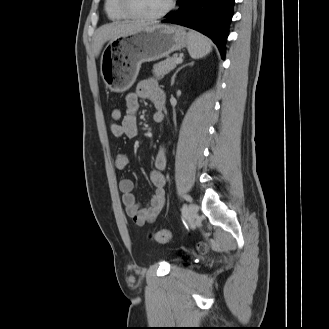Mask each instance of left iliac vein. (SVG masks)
I'll return each mask as SVG.
<instances>
[{
  "label": "left iliac vein",
  "instance_id": "obj_1",
  "mask_svg": "<svg viewBox=\"0 0 329 329\" xmlns=\"http://www.w3.org/2000/svg\"><path fill=\"white\" fill-rule=\"evenodd\" d=\"M199 211V206L196 203H192L188 207V221L194 222Z\"/></svg>",
  "mask_w": 329,
  "mask_h": 329
}]
</instances>
